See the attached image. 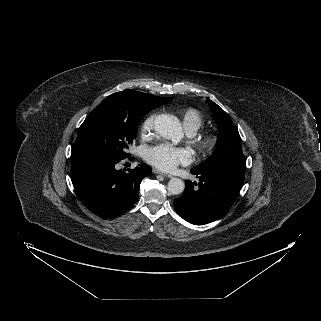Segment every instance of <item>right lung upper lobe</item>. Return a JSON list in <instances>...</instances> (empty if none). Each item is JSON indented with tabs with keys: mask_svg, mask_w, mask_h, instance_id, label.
Here are the masks:
<instances>
[{
	"mask_svg": "<svg viewBox=\"0 0 321 321\" xmlns=\"http://www.w3.org/2000/svg\"><path fill=\"white\" fill-rule=\"evenodd\" d=\"M121 92L132 95L144 105H151V106L155 105L157 107L169 102L170 101L169 99H171V98H165V97H157L152 94H146L135 90H124Z\"/></svg>",
	"mask_w": 321,
	"mask_h": 321,
	"instance_id": "cb5924a9",
	"label": "right lung upper lobe"
}]
</instances>
